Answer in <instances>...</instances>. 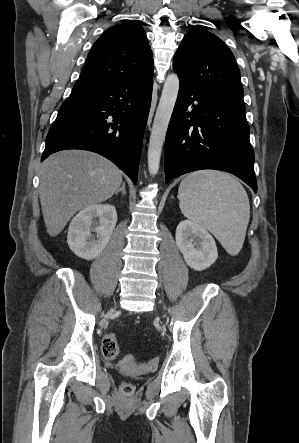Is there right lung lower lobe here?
I'll list each match as a JSON object with an SVG mask.
<instances>
[{
	"mask_svg": "<svg viewBox=\"0 0 299 443\" xmlns=\"http://www.w3.org/2000/svg\"><path fill=\"white\" fill-rule=\"evenodd\" d=\"M153 75L100 85H74L52 124L41 160L66 149L96 152L137 183Z\"/></svg>",
	"mask_w": 299,
	"mask_h": 443,
	"instance_id": "right-lung-lower-lobe-1",
	"label": "right lung lower lobe"
}]
</instances>
